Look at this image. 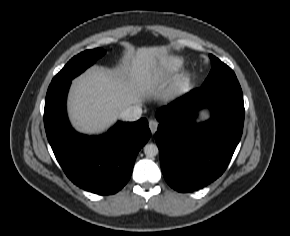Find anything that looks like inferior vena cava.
I'll use <instances>...</instances> for the list:
<instances>
[{
	"instance_id": "obj_1",
	"label": "inferior vena cava",
	"mask_w": 290,
	"mask_h": 236,
	"mask_svg": "<svg viewBox=\"0 0 290 236\" xmlns=\"http://www.w3.org/2000/svg\"><path fill=\"white\" fill-rule=\"evenodd\" d=\"M142 108L138 105H133L121 113V118L126 121H136L141 117Z\"/></svg>"
}]
</instances>
